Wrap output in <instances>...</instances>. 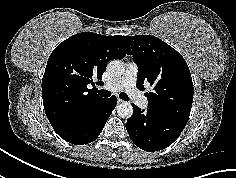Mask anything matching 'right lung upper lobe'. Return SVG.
<instances>
[{
  "label": "right lung upper lobe",
  "mask_w": 236,
  "mask_h": 178,
  "mask_svg": "<svg viewBox=\"0 0 236 178\" xmlns=\"http://www.w3.org/2000/svg\"><path fill=\"white\" fill-rule=\"evenodd\" d=\"M130 53L124 36L75 34L51 53L42 79V98L54 129L76 121L104 100L87 85L101 80L111 59ZM98 81V84H101Z\"/></svg>",
  "instance_id": "obj_1"
}]
</instances>
